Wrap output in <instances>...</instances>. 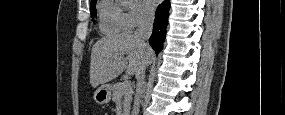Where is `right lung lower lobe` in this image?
I'll list each match as a JSON object with an SVG mask.
<instances>
[{
    "label": "right lung lower lobe",
    "mask_w": 285,
    "mask_h": 115,
    "mask_svg": "<svg viewBox=\"0 0 285 115\" xmlns=\"http://www.w3.org/2000/svg\"><path fill=\"white\" fill-rule=\"evenodd\" d=\"M169 9L170 0H165L156 10L153 33L149 38V43L155 50L156 54H158L163 48Z\"/></svg>",
    "instance_id": "1"
}]
</instances>
